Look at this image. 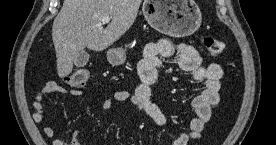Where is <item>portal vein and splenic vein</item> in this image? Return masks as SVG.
I'll use <instances>...</instances> for the list:
<instances>
[{"mask_svg":"<svg viewBox=\"0 0 276 145\" xmlns=\"http://www.w3.org/2000/svg\"><path fill=\"white\" fill-rule=\"evenodd\" d=\"M110 20H111V17H110V16H105V17L102 18V22H103V23H109Z\"/></svg>","mask_w":276,"mask_h":145,"instance_id":"obj_1","label":"portal vein and splenic vein"}]
</instances>
